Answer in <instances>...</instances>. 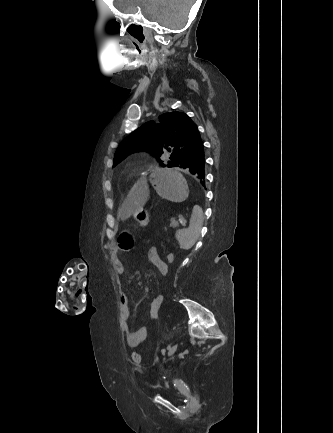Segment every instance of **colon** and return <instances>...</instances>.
<instances>
[{
  "label": "colon",
  "mask_w": 333,
  "mask_h": 433,
  "mask_svg": "<svg viewBox=\"0 0 333 433\" xmlns=\"http://www.w3.org/2000/svg\"><path fill=\"white\" fill-rule=\"evenodd\" d=\"M118 244H119V247L121 249L129 250V249H132L134 247V239L130 234L124 232L119 236ZM164 261L166 262L167 267H172L173 266V253L167 252L166 257L164 258ZM150 305L152 308L149 309L148 314L150 316L151 321L158 320L160 308H162V306H163L162 301L158 300V298L155 297V298H153ZM132 361L135 364H139L141 362V355L137 352H134L132 354Z\"/></svg>",
  "instance_id": "colon-1"
}]
</instances>
